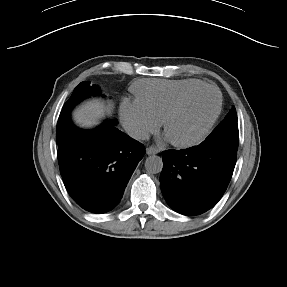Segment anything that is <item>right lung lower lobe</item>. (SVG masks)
Returning <instances> with one entry per match:
<instances>
[{
  "label": "right lung lower lobe",
  "mask_w": 287,
  "mask_h": 287,
  "mask_svg": "<svg viewBox=\"0 0 287 287\" xmlns=\"http://www.w3.org/2000/svg\"><path fill=\"white\" fill-rule=\"evenodd\" d=\"M144 154V145L105 122L91 131L74 127L58 149V162L73 200L87 211L105 213L118 204Z\"/></svg>",
  "instance_id": "right-lung-lower-lobe-1"
}]
</instances>
